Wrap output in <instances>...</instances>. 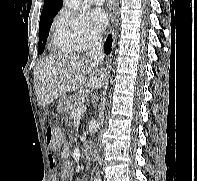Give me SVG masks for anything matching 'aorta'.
<instances>
[{
    "label": "aorta",
    "mask_w": 197,
    "mask_h": 181,
    "mask_svg": "<svg viewBox=\"0 0 197 181\" xmlns=\"http://www.w3.org/2000/svg\"><path fill=\"white\" fill-rule=\"evenodd\" d=\"M66 7L72 10L79 9L82 0H63ZM95 181H101V178L95 179Z\"/></svg>",
    "instance_id": "1"
}]
</instances>
